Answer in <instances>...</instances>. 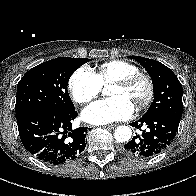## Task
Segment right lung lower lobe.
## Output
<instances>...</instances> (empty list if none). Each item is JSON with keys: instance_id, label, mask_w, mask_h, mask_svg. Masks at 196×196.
I'll list each match as a JSON object with an SVG mask.
<instances>
[{"instance_id": "98d812e1", "label": "right lung lower lobe", "mask_w": 196, "mask_h": 196, "mask_svg": "<svg viewBox=\"0 0 196 196\" xmlns=\"http://www.w3.org/2000/svg\"><path fill=\"white\" fill-rule=\"evenodd\" d=\"M75 110L35 109L17 118L19 135L25 149L48 164L58 165L75 159L87 143L86 127L72 129Z\"/></svg>"}]
</instances>
